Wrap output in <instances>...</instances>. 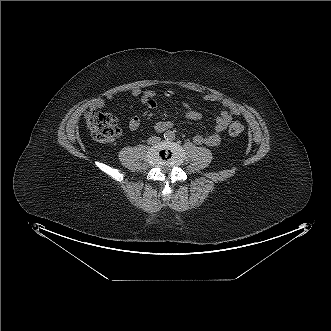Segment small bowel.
I'll return each mask as SVG.
<instances>
[{"mask_svg":"<svg viewBox=\"0 0 331 331\" xmlns=\"http://www.w3.org/2000/svg\"><path fill=\"white\" fill-rule=\"evenodd\" d=\"M126 95L137 98L140 102L145 104L149 109H156L158 104L156 101V93L152 90H143L140 88H133L126 92ZM162 95L164 97H172L174 95L173 90H165ZM115 93H109L106 95L107 100L115 99ZM200 100L211 102L214 104H220L224 107L215 120V125L212 133L209 136H203L202 134H195L193 136V142L197 145H207L209 147H217L221 143V134L228 127L231 119L240 115V108L230 99L215 95L207 94L200 97ZM105 105V100L102 98L96 99L91 108L101 109ZM186 107L185 119L189 121H199L202 119L201 112L192 108L188 103H184ZM141 119L138 116H133L128 121V128L131 131H135L140 127ZM171 125L168 121H160L155 124V130L163 132L167 129V126Z\"/></svg>","mask_w":331,"mask_h":331,"instance_id":"obj_1","label":"small bowel"}]
</instances>
